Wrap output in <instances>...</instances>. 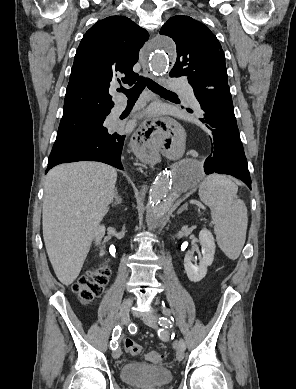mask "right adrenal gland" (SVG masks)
<instances>
[{
	"label": "right adrenal gland",
	"instance_id": "1",
	"mask_svg": "<svg viewBox=\"0 0 296 389\" xmlns=\"http://www.w3.org/2000/svg\"><path fill=\"white\" fill-rule=\"evenodd\" d=\"M122 203V198L118 194L117 188L115 189L114 202H112V206H117Z\"/></svg>",
	"mask_w": 296,
	"mask_h": 389
}]
</instances>
